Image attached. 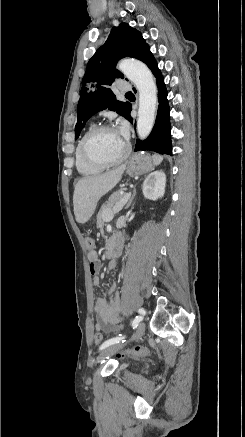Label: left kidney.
I'll return each mask as SVG.
<instances>
[{"label":"left kidney","instance_id":"left-kidney-1","mask_svg":"<svg viewBox=\"0 0 245 437\" xmlns=\"http://www.w3.org/2000/svg\"><path fill=\"white\" fill-rule=\"evenodd\" d=\"M166 186V175L162 171L150 173L143 183V195L149 200L163 197Z\"/></svg>","mask_w":245,"mask_h":437}]
</instances>
